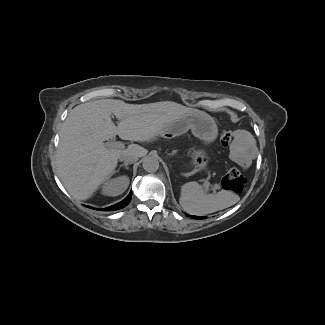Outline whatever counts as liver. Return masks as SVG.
I'll use <instances>...</instances> for the list:
<instances>
[{
    "label": "liver",
    "mask_w": 325,
    "mask_h": 325,
    "mask_svg": "<svg viewBox=\"0 0 325 325\" xmlns=\"http://www.w3.org/2000/svg\"><path fill=\"white\" fill-rule=\"evenodd\" d=\"M194 112L200 111L171 101L127 104L121 100L101 99L77 105L60 130L52 164L54 172L73 198L86 200L108 179L121 154L125 151L146 153L138 145L123 150L106 147L104 141L116 135L123 140H148L174 120ZM111 114L119 120L118 126Z\"/></svg>",
    "instance_id": "1"
}]
</instances>
